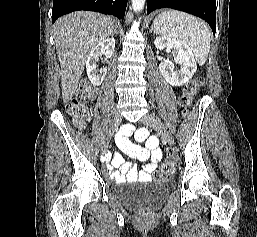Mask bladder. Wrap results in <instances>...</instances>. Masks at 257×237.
<instances>
[{
  "label": "bladder",
  "mask_w": 257,
  "mask_h": 237,
  "mask_svg": "<svg viewBox=\"0 0 257 237\" xmlns=\"http://www.w3.org/2000/svg\"><path fill=\"white\" fill-rule=\"evenodd\" d=\"M170 190L171 183L169 181H153L145 188L124 193L120 199L123 204L133 209H153L164 200Z\"/></svg>",
  "instance_id": "obj_1"
}]
</instances>
